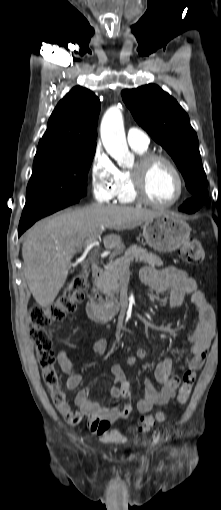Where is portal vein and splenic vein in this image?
Returning <instances> with one entry per match:
<instances>
[{
    "label": "portal vein and splenic vein",
    "mask_w": 221,
    "mask_h": 510,
    "mask_svg": "<svg viewBox=\"0 0 221 510\" xmlns=\"http://www.w3.org/2000/svg\"><path fill=\"white\" fill-rule=\"evenodd\" d=\"M103 230H104V227H101V231L99 233H95L94 235H92V237L90 238V240L87 244L88 247L93 246L97 242V239L100 237V234L102 233ZM93 254L96 255V252H93Z\"/></svg>",
    "instance_id": "18ae733b"
}]
</instances>
